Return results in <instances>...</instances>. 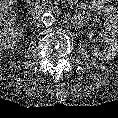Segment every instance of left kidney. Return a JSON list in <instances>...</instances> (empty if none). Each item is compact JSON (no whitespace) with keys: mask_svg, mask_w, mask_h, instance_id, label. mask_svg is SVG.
<instances>
[{"mask_svg":"<svg viewBox=\"0 0 118 118\" xmlns=\"http://www.w3.org/2000/svg\"><path fill=\"white\" fill-rule=\"evenodd\" d=\"M98 35L108 44V47L103 51L95 50L93 55L102 61L114 60L118 56V40L105 30H101Z\"/></svg>","mask_w":118,"mask_h":118,"instance_id":"1","label":"left kidney"}]
</instances>
